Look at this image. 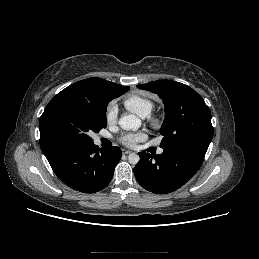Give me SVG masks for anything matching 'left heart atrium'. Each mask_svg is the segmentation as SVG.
Returning <instances> with one entry per match:
<instances>
[{
	"label": "left heart atrium",
	"instance_id": "39dd6f15",
	"mask_svg": "<svg viewBox=\"0 0 259 259\" xmlns=\"http://www.w3.org/2000/svg\"><path fill=\"white\" fill-rule=\"evenodd\" d=\"M145 137L144 133H128L122 136L121 142L129 147H133L139 140Z\"/></svg>",
	"mask_w": 259,
	"mask_h": 259
}]
</instances>
